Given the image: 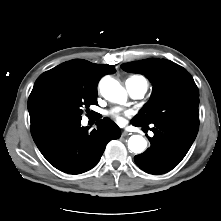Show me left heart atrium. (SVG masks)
<instances>
[{
    "label": "left heart atrium",
    "instance_id": "obj_1",
    "mask_svg": "<svg viewBox=\"0 0 221 221\" xmlns=\"http://www.w3.org/2000/svg\"><path fill=\"white\" fill-rule=\"evenodd\" d=\"M113 118L120 124L123 122V117L120 114H114Z\"/></svg>",
    "mask_w": 221,
    "mask_h": 221
}]
</instances>
